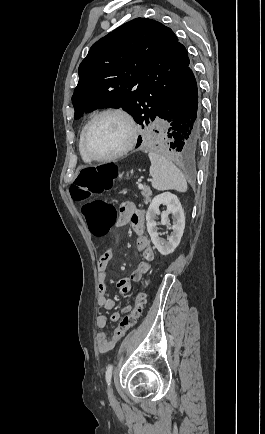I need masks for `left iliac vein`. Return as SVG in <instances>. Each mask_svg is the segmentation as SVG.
Instances as JSON below:
<instances>
[{"instance_id": "left-iliac-vein-1", "label": "left iliac vein", "mask_w": 265, "mask_h": 434, "mask_svg": "<svg viewBox=\"0 0 265 434\" xmlns=\"http://www.w3.org/2000/svg\"><path fill=\"white\" fill-rule=\"evenodd\" d=\"M108 398H109V401H110L111 404L115 403V397L113 395V392H112L111 388L108 389Z\"/></svg>"}]
</instances>
